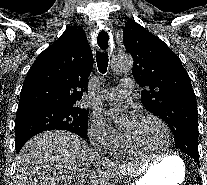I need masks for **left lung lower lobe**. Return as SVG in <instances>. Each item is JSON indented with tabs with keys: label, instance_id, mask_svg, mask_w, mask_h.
Returning <instances> with one entry per match:
<instances>
[{
	"label": "left lung lower lobe",
	"instance_id": "1",
	"mask_svg": "<svg viewBox=\"0 0 207 185\" xmlns=\"http://www.w3.org/2000/svg\"><path fill=\"white\" fill-rule=\"evenodd\" d=\"M188 155L191 156L199 165V153H190Z\"/></svg>",
	"mask_w": 207,
	"mask_h": 185
}]
</instances>
